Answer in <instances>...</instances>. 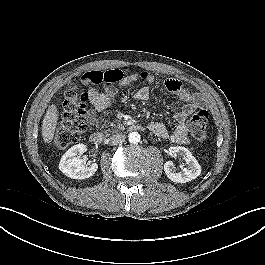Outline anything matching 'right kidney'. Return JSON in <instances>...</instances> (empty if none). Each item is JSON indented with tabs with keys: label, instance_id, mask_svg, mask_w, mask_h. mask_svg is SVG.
I'll return each mask as SVG.
<instances>
[{
	"label": "right kidney",
	"instance_id": "1",
	"mask_svg": "<svg viewBox=\"0 0 265 265\" xmlns=\"http://www.w3.org/2000/svg\"><path fill=\"white\" fill-rule=\"evenodd\" d=\"M87 151L85 144H77L71 147L62 156L59 169L67 176L73 179H86L91 177L98 169V165L93 163L86 164V159L76 157Z\"/></svg>",
	"mask_w": 265,
	"mask_h": 265
}]
</instances>
